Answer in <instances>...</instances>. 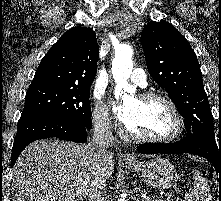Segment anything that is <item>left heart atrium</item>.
Returning <instances> with one entry per match:
<instances>
[{"mask_svg":"<svg viewBox=\"0 0 221 201\" xmlns=\"http://www.w3.org/2000/svg\"><path fill=\"white\" fill-rule=\"evenodd\" d=\"M113 112L121 121H123L127 114V107L125 104H122V105L114 104Z\"/></svg>","mask_w":221,"mask_h":201,"instance_id":"left-heart-atrium-1","label":"left heart atrium"}]
</instances>
